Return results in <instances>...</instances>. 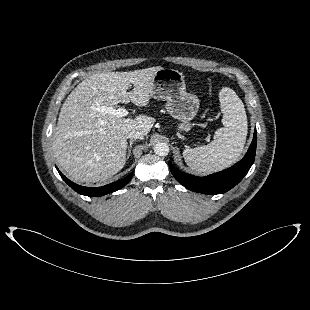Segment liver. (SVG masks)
<instances>
[{
    "label": "liver",
    "mask_w": 310,
    "mask_h": 310,
    "mask_svg": "<svg viewBox=\"0 0 310 310\" xmlns=\"http://www.w3.org/2000/svg\"><path fill=\"white\" fill-rule=\"evenodd\" d=\"M161 68L94 74L70 93L60 110L52 148L58 164L74 181L101 182L124 167L128 133L139 130L147 135L155 119L118 118L97 108L129 102L148 105L154 75Z\"/></svg>",
    "instance_id": "6515ba94"
}]
</instances>
